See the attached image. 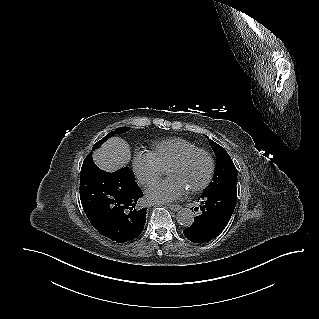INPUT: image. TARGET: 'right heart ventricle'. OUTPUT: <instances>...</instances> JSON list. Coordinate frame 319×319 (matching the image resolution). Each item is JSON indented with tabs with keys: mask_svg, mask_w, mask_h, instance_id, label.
I'll return each instance as SVG.
<instances>
[{
	"mask_svg": "<svg viewBox=\"0 0 319 319\" xmlns=\"http://www.w3.org/2000/svg\"><path fill=\"white\" fill-rule=\"evenodd\" d=\"M195 148L197 145L190 140L173 137L154 143L150 153L163 169H167L181 154Z\"/></svg>",
	"mask_w": 319,
	"mask_h": 319,
	"instance_id": "1",
	"label": "right heart ventricle"
}]
</instances>
